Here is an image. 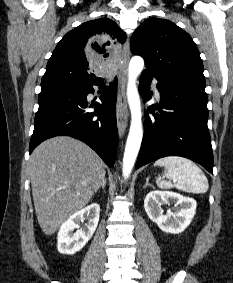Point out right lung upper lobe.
I'll use <instances>...</instances> for the list:
<instances>
[{"mask_svg": "<svg viewBox=\"0 0 233 283\" xmlns=\"http://www.w3.org/2000/svg\"><path fill=\"white\" fill-rule=\"evenodd\" d=\"M126 34L108 19L87 21L68 32L58 43L46 66L42 82L64 81L85 85L102 81L94 70H107L113 65L117 45L123 44Z\"/></svg>", "mask_w": 233, "mask_h": 283, "instance_id": "right-lung-upper-lobe-1", "label": "right lung upper lobe"}]
</instances>
